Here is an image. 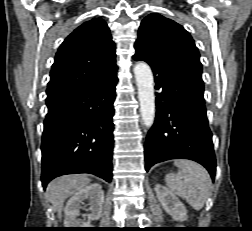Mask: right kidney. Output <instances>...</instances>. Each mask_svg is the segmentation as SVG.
Here are the masks:
<instances>
[{"label":"right kidney","mask_w":252,"mask_h":231,"mask_svg":"<svg viewBox=\"0 0 252 231\" xmlns=\"http://www.w3.org/2000/svg\"><path fill=\"white\" fill-rule=\"evenodd\" d=\"M86 200L90 204V213L80 219L78 216L80 215L81 204ZM103 204L104 192L102 187L97 183L86 186L68 200L64 209V225L67 228H89L92 220H98L102 216Z\"/></svg>","instance_id":"obj_1"}]
</instances>
